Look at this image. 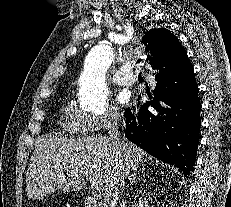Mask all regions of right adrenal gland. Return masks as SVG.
I'll use <instances>...</instances> for the list:
<instances>
[{
  "label": "right adrenal gland",
  "instance_id": "right-adrenal-gland-1",
  "mask_svg": "<svg viewBox=\"0 0 231 207\" xmlns=\"http://www.w3.org/2000/svg\"><path fill=\"white\" fill-rule=\"evenodd\" d=\"M138 169L133 170L131 172V175L129 176V180H130V188L127 191H131L132 190V186L136 183V180L138 179Z\"/></svg>",
  "mask_w": 231,
  "mask_h": 207
}]
</instances>
